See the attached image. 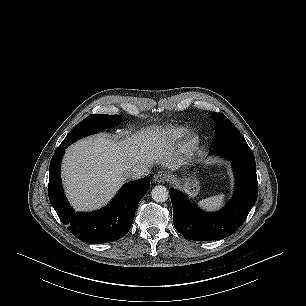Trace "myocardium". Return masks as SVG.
I'll use <instances>...</instances> for the list:
<instances>
[{
    "label": "myocardium",
    "instance_id": "f54148a6",
    "mask_svg": "<svg viewBox=\"0 0 306 306\" xmlns=\"http://www.w3.org/2000/svg\"><path fill=\"white\" fill-rule=\"evenodd\" d=\"M194 140H195L194 135H189V136H188V142H189L190 144H192V143L194 142Z\"/></svg>",
    "mask_w": 306,
    "mask_h": 306
}]
</instances>
